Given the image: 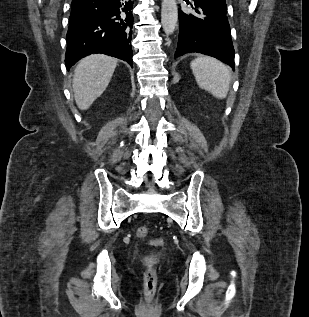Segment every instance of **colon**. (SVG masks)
I'll return each instance as SVG.
<instances>
[{"label": "colon", "mask_w": 309, "mask_h": 317, "mask_svg": "<svg viewBox=\"0 0 309 317\" xmlns=\"http://www.w3.org/2000/svg\"><path fill=\"white\" fill-rule=\"evenodd\" d=\"M148 228L145 226H140L136 230V236L138 238H146L148 235ZM153 245H163L164 241L162 239H154L151 241ZM157 287V274L156 268L150 265L144 273V292L148 300H151L156 292Z\"/></svg>", "instance_id": "colon-1"}]
</instances>
